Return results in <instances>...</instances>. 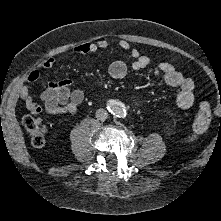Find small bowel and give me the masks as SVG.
Returning a JSON list of instances; mask_svg holds the SVG:
<instances>
[{
    "mask_svg": "<svg viewBox=\"0 0 221 221\" xmlns=\"http://www.w3.org/2000/svg\"><path fill=\"white\" fill-rule=\"evenodd\" d=\"M117 45L129 51L132 58V69L138 71L146 68L150 59L140 51L132 47L125 39H117ZM108 47V41L100 39L96 42H85L77 45L74 52L79 55H89L98 50H104ZM57 63L55 57H50L45 60L43 67L46 69L53 68ZM128 72L127 65L122 61H115L109 67V74L114 79H122ZM156 77H161L163 81L170 87L177 88L176 96L177 106L181 109H188L194 104L195 84L182 73L177 71L171 64L166 62L158 63L154 69ZM40 78L38 71L32 72L28 78V82L36 81ZM72 80L64 79L58 82H50L47 88L41 93L40 100L43 104V110L47 115L70 114L74 115L79 105L82 103L84 95L79 89L72 88ZM20 97L24 101L27 109L33 114L42 111V106L38 104L32 95L29 93L27 85H23L20 89Z\"/></svg>",
    "mask_w": 221,
    "mask_h": 221,
    "instance_id": "c3829d8e",
    "label": "small bowel"
}]
</instances>
